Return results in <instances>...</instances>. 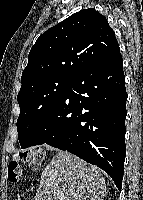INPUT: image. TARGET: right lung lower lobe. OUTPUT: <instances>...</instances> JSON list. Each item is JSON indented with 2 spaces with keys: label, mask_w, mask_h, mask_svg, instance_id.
Segmentation results:
<instances>
[{
  "label": "right lung lower lobe",
  "mask_w": 143,
  "mask_h": 200,
  "mask_svg": "<svg viewBox=\"0 0 143 200\" xmlns=\"http://www.w3.org/2000/svg\"><path fill=\"white\" fill-rule=\"evenodd\" d=\"M127 93L119 47L72 78L26 148L48 144L107 172L121 191Z\"/></svg>",
  "instance_id": "right-lung-lower-lobe-1"
}]
</instances>
